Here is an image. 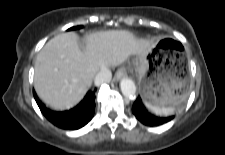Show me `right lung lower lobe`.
I'll return each mask as SVG.
<instances>
[{
    "instance_id": "1",
    "label": "right lung lower lobe",
    "mask_w": 225,
    "mask_h": 155,
    "mask_svg": "<svg viewBox=\"0 0 225 155\" xmlns=\"http://www.w3.org/2000/svg\"><path fill=\"white\" fill-rule=\"evenodd\" d=\"M34 98L43 115L55 126L62 129L76 130L86 125L95 111L94 92L89 91L84 100L71 110L64 112L52 111L40 102L35 92Z\"/></svg>"
}]
</instances>
